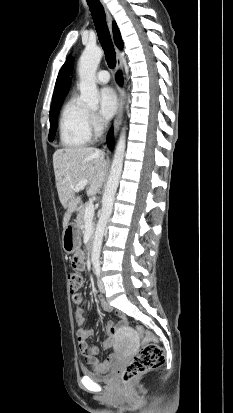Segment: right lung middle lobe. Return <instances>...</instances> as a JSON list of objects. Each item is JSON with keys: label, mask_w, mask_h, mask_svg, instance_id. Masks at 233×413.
<instances>
[{"label": "right lung middle lobe", "mask_w": 233, "mask_h": 413, "mask_svg": "<svg viewBox=\"0 0 233 413\" xmlns=\"http://www.w3.org/2000/svg\"><path fill=\"white\" fill-rule=\"evenodd\" d=\"M63 101L51 105L50 108V131H49V141H53L57 129V115L59 112V109L61 107Z\"/></svg>", "instance_id": "right-lung-middle-lobe-1"}]
</instances>
